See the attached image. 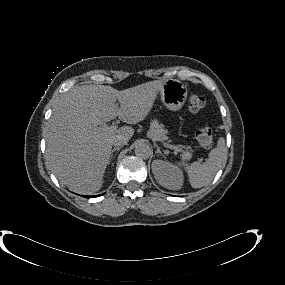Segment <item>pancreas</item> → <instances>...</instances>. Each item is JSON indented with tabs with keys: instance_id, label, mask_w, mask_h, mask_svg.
Here are the masks:
<instances>
[{
	"instance_id": "pancreas-1",
	"label": "pancreas",
	"mask_w": 285,
	"mask_h": 285,
	"mask_svg": "<svg viewBox=\"0 0 285 285\" xmlns=\"http://www.w3.org/2000/svg\"><path fill=\"white\" fill-rule=\"evenodd\" d=\"M167 132L168 131L164 129L163 124H160L157 120H152L148 133L153 139L164 142L168 139L166 136ZM183 148L185 149V151L182 154V158L185 160L191 159V148L186 146H183Z\"/></svg>"
}]
</instances>
